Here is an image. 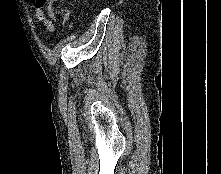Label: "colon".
<instances>
[{"instance_id": "5ec220e1", "label": "colon", "mask_w": 221, "mask_h": 174, "mask_svg": "<svg viewBox=\"0 0 221 174\" xmlns=\"http://www.w3.org/2000/svg\"><path fill=\"white\" fill-rule=\"evenodd\" d=\"M37 1L39 2L40 5L44 6L49 1H58V0H37Z\"/></svg>"}]
</instances>
